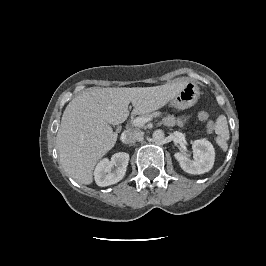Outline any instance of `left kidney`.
<instances>
[{
  "label": "left kidney",
  "instance_id": "5707ae66",
  "mask_svg": "<svg viewBox=\"0 0 266 266\" xmlns=\"http://www.w3.org/2000/svg\"><path fill=\"white\" fill-rule=\"evenodd\" d=\"M192 149L194 160H190L183 153H175L180 167L189 174H203L210 171L215 160L213 145L206 139H199L193 142Z\"/></svg>",
  "mask_w": 266,
  "mask_h": 266
}]
</instances>
